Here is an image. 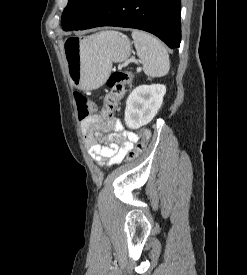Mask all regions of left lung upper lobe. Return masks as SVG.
<instances>
[{
    "label": "left lung upper lobe",
    "instance_id": "1",
    "mask_svg": "<svg viewBox=\"0 0 247 275\" xmlns=\"http://www.w3.org/2000/svg\"><path fill=\"white\" fill-rule=\"evenodd\" d=\"M104 0H69L62 13V28L71 31L81 27Z\"/></svg>",
    "mask_w": 247,
    "mask_h": 275
}]
</instances>
